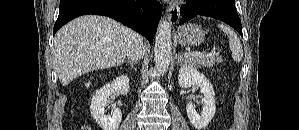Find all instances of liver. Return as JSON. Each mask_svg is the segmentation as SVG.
I'll use <instances>...</instances> for the list:
<instances>
[{
    "label": "liver",
    "mask_w": 299,
    "mask_h": 130,
    "mask_svg": "<svg viewBox=\"0 0 299 130\" xmlns=\"http://www.w3.org/2000/svg\"><path fill=\"white\" fill-rule=\"evenodd\" d=\"M133 31L104 16L76 18L56 34L53 61L63 86L91 71L122 64Z\"/></svg>",
    "instance_id": "6515ba94"
}]
</instances>
